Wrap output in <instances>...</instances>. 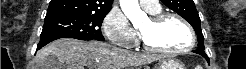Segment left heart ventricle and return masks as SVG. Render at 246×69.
I'll use <instances>...</instances> for the list:
<instances>
[{
  "instance_id": "obj_1",
  "label": "left heart ventricle",
  "mask_w": 246,
  "mask_h": 69,
  "mask_svg": "<svg viewBox=\"0 0 246 69\" xmlns=\"http://www.w3.org/2000/svg\"><path fill=\"white\" fill-rule=\"evenodd\" d=\"M138 31L151 45L165 49L180 48L189 40L185 27L173 18L159 25H153L148 20Z\"/></svg>"
}]
</instances>
